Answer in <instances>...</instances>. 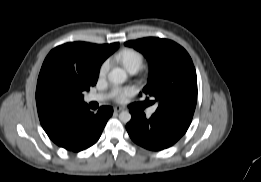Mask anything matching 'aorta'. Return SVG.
<instances>
[{
	"label": "aorta",
	"instance_id": "aorta-1",
	"mask_svg": "<svg viewBox=\"0 0 261 182\" xmlns=\"http://www.w3.org/2000/svg\"><path fill=\"white\" fill-rule=\"evenodd\" d=\"M108 79L113 84H122L127 79L126 72L121 68H114L108 74ZM119 120L123 123H128L131 120V114L129 111H122L119 114Z\"/></svg>",
	"mask_w": 261,
	"mask_h": 182
}]
</instances>
